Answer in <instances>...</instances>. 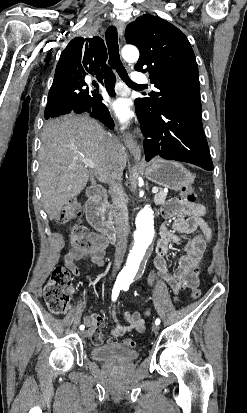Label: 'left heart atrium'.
I'll use <instances>...</instances> for the list:
<instances>
[{
	"instance_id": "1",
	"label": "left heart atrium",
	"mask_w": 247,
	"mask_h": 413,
	"mask_svg": "<svg viewBox=\"0 0 247 413\" xmlns=\"http://www.w3.org/2000/svg\"><path fill=\"white\" fill-rule=\"evenodd\" d=\"M109 109L115 114V116L122 122L124 125L130 123L132 119V112L128 107V103L123 98H117L107 101Z\"/></svg>"
}]
</instances>
